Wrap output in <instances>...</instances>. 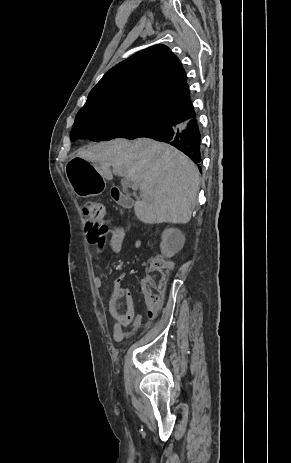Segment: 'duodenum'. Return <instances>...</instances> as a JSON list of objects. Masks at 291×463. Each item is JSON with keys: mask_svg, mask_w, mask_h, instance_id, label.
Wrapping results in <instances>:
<instances>
[{"mask_svg": "<svg viewBox=\"0 0 291 463\" xmlns=\"http://www.w3.org/2000/svg\"><path fill=\"white\" fill-rule=\"evenodd\" d=\"M111 197L123 207H130L132 205L131 198L118 188H113L111 190Z\"/></svg>", "mask_w": 291, "mask_h": 463, "instance_id": "duodenum-1", "label": "duodenum"}]
</instances>
